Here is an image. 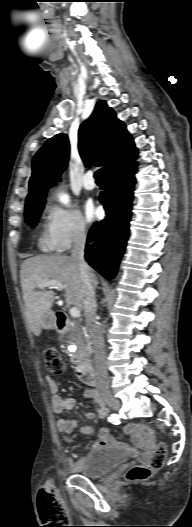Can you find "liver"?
Listing matches in <instances>:
<instances>
[{"label": "liver", "instance_id": "liver-1", "mask_svg": "<svg viewBox=\"0 0 192 527\" xmlns=\"http://www.w3.org/2000/svg\"><path fill=\"white\" fill-rule=\"evenodd\" d=\"M26 319L35 336H40L42 321L53 305L52 290L37 291L38 284L55 280L64 285L65 302L68 306L83 309L84 284L76 259L66 255H38L26 259L20 270ZM94 284L96 278L93 274Z\"/></svg>", "mask_w": 192, "mask_h": 527}]
</instances>
